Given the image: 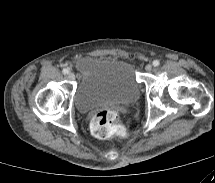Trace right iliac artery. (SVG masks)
Segmentation results:
<instances>
[{"label": "right iliac artery", "instance_id": "82829eb1", "mask_svg": "<svg viewBox=\"0 0 215 183\" xmlns=\"http://www.w3.org/2000/svg\"><path fill=\"white\" fill-rule=\"evenodd\" d=\"M62 72H63V74H68L69 70L67 68H64Z\"/></svg>", "mask_w": 215, "mask_h": 183}]
</instances>
